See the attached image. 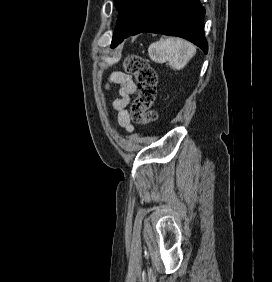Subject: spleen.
Returning <instances> with one entry per match:
<instances>
[{
    "instance_id": "obj_1",
    "label": "spleen",
    "mask_w": 272,
    "mask_h": 282,
    "mask_svg": "<svg viewBox=\"0 0 272 282\" xmlns=\"http://www.w3.org/2000/svg\"><path fill=\"white\" fill-rule=\"evenodd\" d=\"M148 52L153 61L159 63L168 61L174 69L180 70L195 55L196 49L188 41L170 37L152 43Z\"/></svg>"
}]
</instances>
